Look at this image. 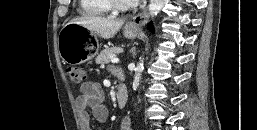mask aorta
Listing matches in <instances>:
<instances>
[{
	"label": "aorta",
	"instance_id": "762f6f07",
	"mask_svg": "<svg viewBox=\"0 0 257 130\" xmlns=\"http://www.w3.org/2000/svg\"><path fill=\"white\" fill-rule=\"evenodd\" d=\"M166 0H151L149 4V13L151 16H155L159 13L162 7L165 5ZM143 71V60H140L136 67V73L133 81V89L136 90L141 80V73Z\"/></svg>",
	"mask_w": 257,
	"mask_h": 130
}]
</instances>
